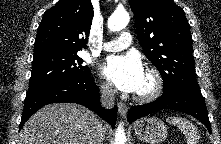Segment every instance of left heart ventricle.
I'll use <instances>...</instances> for the list:
<instances>
[{
    "mask_svg": "<svg viewBox=\"0 0 221 144\" xmlns=\"http://www.w3.org/2000/svg\"><path fill=\"white\" fill-rule=\"evenodd\" d=\"M151 86H152L151 79L146 74H144L142 84L138 89L137 93H145L150 90Z\"/></svg>",
    "mask_w": 221,
    "mask_h": 144,
    "instance_id": "b2bd125f",
    "label": "left heart ventricle"
}]
</instances>
